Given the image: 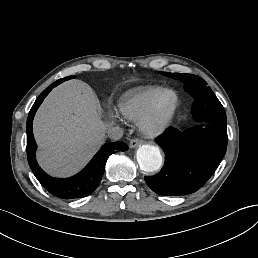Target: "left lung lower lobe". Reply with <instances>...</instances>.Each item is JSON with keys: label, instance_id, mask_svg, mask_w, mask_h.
<instances>
[{"label": "left lung lower lobe", "instance_id": "obj_1", "mask_svg": "<svg viewBox=\"0 0 258 258\" xmlns=\"http://www.w3.org/2000/svg\"><path fill=\"white\" fill-rule=\"evenodd\" d=\"M211 104V100L199 101ZM204 104V107L207 105ZM190 129H168L156 139L165 153L164 166L154 176L144 177L147 185L165 196L191 194L212 176L227 148L226 124L199 121Z\"/></svg>", "mask_w": 258, "mask_h": 258}]
</instances>
